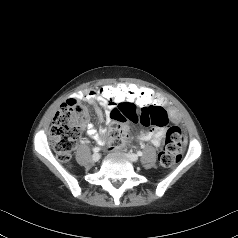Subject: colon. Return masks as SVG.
Returning <instances> with one entry per match:
<instances>
[{"instance_id": "colon-1", "label": "colon", "mask_w": 238, "mask_h": 238, "mask_svg": "<svg viewBox=\"0 0 238 238\" xmlns=\"http://www.w3.org/2000/svg\"><path fill=\"white\" fill-rule=\"evenodd\" d=\"M97 95L103 102L122 103L110 113L114 122L109 132L112 149H117L124 143L127 135L125 123L129 120L144 126L168 128L164 147L159 154L160 164L170 167L180 161L184 136L178 126L171 125L170 115L163 109L168 104L165 95L157 91L150 92L134 83L102 85L98 88ZM84 112L79 102L67 100L54 116L50 141L61 162L68 163L71 159V152L80 135L79 122Z\"/></svg>"}]
</instances>
